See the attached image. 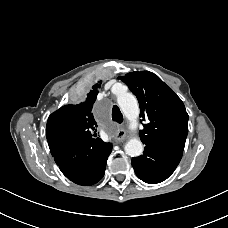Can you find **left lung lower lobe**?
<instances>
[{
  "label": "left lung lower lobe",
  "instance_id": "left-lung-lower-lobe-1",
  "mask_svg": "<svg viewBox=\"0 0 228 228\" xmlns=\"http://www.w3.org/2000/svg\"><path fill=\"white\" fill-rule=\"evenodd\" d=\"M183 150L161 143H146L143 155L132 158L136 175L146 183L156 184L166 180L176 169Z\"/></svg>",
  "mask_w": 228,
  "mask_h": 228
}]
</instances>
